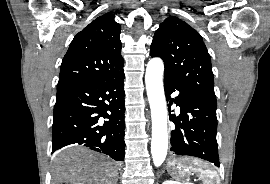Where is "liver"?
Segmentation results:
<instances>
[{"label":"liver","instance_id":"obj_1","mask_svg":"<svg viewBox=\"0 0 270 184\" xmlns=\"http://www.w3.org/2000/svg\"><path fill=\"white\" fill-rule=\"evenodd\" d=\"M117 181V165L83 147L64 150L52 167V184H117Z\"/></svg>","mask_w":270,"mask_h":184}]
</instances>
